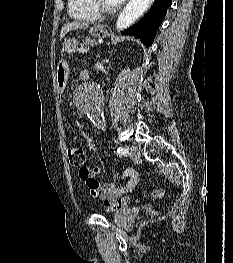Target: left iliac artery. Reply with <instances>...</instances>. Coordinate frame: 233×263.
I'll return each mask as SVG.
<instances>
[{"label":"left iliac artery","instance_id":"44dca946","mask_svg":"<svg viewBox=\"0 0 233 263\" xmlns=\"http://www.w3.org/2000/svg\"><path fill=\"white\" fill-rule=\"evenodd\" d=\"M117 153L120 155H127L129 153V150L126 147H118Z\"/></svg>","mask_w":233,"mask_h":263}]
</instances>
